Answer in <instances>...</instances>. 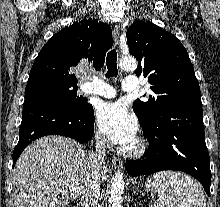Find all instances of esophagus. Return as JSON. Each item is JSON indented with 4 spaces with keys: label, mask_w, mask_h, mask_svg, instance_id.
I'll return each instance as SVG.
<instances>
[{
    "label": "esophagus",
    "mask_w": 220,
    "mask_h": 207,
    "mask_svg": "<svg viewBox=\"0 0 220 207\" xmlns=\"http://www.w3.org/2000/svg\"><path fill=\"white\" fill-rule=\"evenodd\" d=\"M119 37H120V28L118 25H115L113 30V39L115 45H119ZM113 166L117 169H121L123 167V162L120 158L113 157L112 159Z\"/></svg>",
    "instance_id": "obj_1"
}]
</instances>
